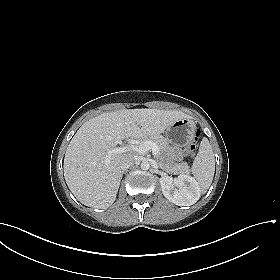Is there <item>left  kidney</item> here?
Listing matches in <instances>:
<instances>
[{
    "label": "left kidney",
    "mask_w": 280,
    "mask_h": 280,
    "mask_svg": "<svg viewBox=\"0 0 280 280\" xmlns=\"http://www.w3.org/2000/svg\"><path fill=\"white\" fill-rule=\"evenodd\" d=\"M160 184L165 198L178 206L193 205L201 195L198 182L190 175L181 174L177 179L164 176Z\"/></svg>",
    "instance_id": "1"
}]
</instances>
